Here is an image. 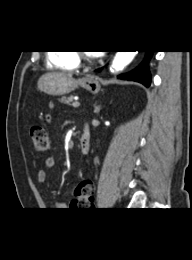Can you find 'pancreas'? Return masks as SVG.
Returning <instances> with one entry per match:
<instances>
[{"label":"pancreas","instance_id":"cf45deb5","mask_svg":"<svg viewBox=\"0 0 192 260\" xmlns=\"http://www.w3.org/2000/svg\"><path fill=\"white\" fill-rule=\"evenodd\" d=\"M61 103H64V104H69L70 102L73 101V96H69V97H62L60 100H59Z\"/></svg>","mask_w":192,"mask_h":260}]
</instances>
